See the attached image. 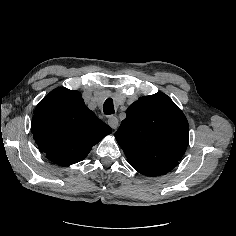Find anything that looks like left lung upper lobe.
I'll return each instance as SVG.
<instances>
[{"instance_id": "5c2ea615", "label": "left lung upper lobe", "mask_w": 236, "mask_h": 236, "mask_svg": "<svg viewBox=\"0 0 236 236\" xmlns=\"http://www.w3.org/2000/svg\"><path fill=\"white\" fill-rule=\"evenodd\" d=\"M189 125L183 112L163 93L139 98L115 133L129 164L146 176L171 171L188 145Z\"/></svg>"}]
</instances>
